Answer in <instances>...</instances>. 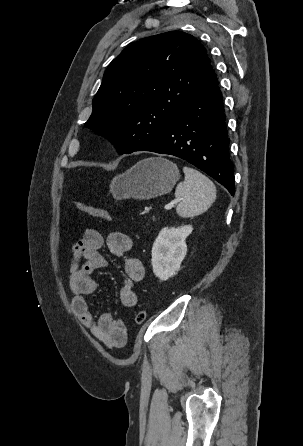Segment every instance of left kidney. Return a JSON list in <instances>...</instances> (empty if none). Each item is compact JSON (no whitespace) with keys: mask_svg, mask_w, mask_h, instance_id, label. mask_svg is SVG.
Segmentation results:
<instances>
[{"mask_svg":"<svg viewBox=\"0 0 303 446\" xmlns=\"http://www.w3.org/2000/svg\"><path fill=\"white\" fill-rule=\"evenodd\" d=\"M191 225L163 228L152 247L153 273L162 281L177 274L187 253L186 238L192 233Z\"/></svg>","mask_w":303,"mask_h":446,"instance_id":"5707ae66","label":"left kidney"}]
</instances>
